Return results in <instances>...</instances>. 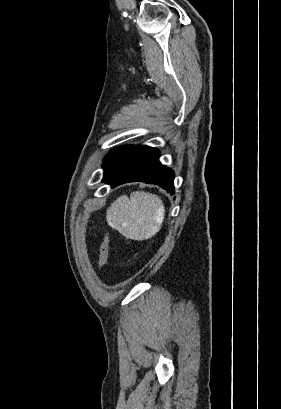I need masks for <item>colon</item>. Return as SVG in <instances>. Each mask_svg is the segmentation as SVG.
Instances as JSON below:
<instances>
[{
  "label": "colon",
  "mask_w": 281,
  "mask_h": 409,
  "mask_svg": "<svg viewBox=\"0 0 281 409\" xmlns=\"http://www.w3.org/2000/svg\"><path fill=\"white\" fill-rule=\"evenodd\" d=\"M108 252H109V247H108V241L107 238L104 236L99 245V254H98V265L100 268L104 266V264L107 261L108 258Z\"/></svg>",
  "instance_id": "1"
}]
</instances>
